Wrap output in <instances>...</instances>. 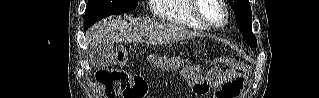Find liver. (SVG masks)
<instances>
[{"instance_id": "1", "label": "liver", "mask_w": 319, "mask_h": 98, "mask_svg": "<svg viewBox=\"0 0 319 98\" xmlns=\"http://www.w3.org/2000/svg\"><path fill=\"white\" fill-rule=\"evenodd\" d=\"M142 36L148 38L151 45L169 44L180 40L195 38L200 34L174 24H161L136 19L122 18L102 21L92 26L87 32L90 49L104 44L138 43ZM91 57V54H90Z\"/></svg>"}]
</instances>
